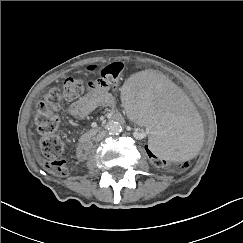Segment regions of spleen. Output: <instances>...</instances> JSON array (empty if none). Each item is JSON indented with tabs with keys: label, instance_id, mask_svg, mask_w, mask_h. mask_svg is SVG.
<instances>
[{
	"label": "spleen",
	"instance_id": "spleen-1",
	"mask_svg": "<svg viewBox=\"0 0 243 243\" xmlns=\"http://www.w3.org/2000/svg\"><path fill=\"white\" fill-rule=\"evenodd\" d=\"M125 111L138 122L149 123V144L159 157L184 161L197 154L202 137L189 96L172 78L140 70L126 81Z\"/></svg>",
	"mask_w": 243,
	"mask_h": 243
}]
</instances>
